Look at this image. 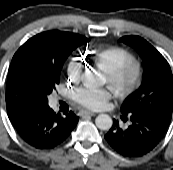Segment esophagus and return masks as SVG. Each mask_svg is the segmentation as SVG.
Wrapping results in <instances>:
<instances>
[{"label":"esophagus","mask_w":173,"mask_h":170,"mask_svg":"<svg viewBox=\"0 0 173 170\" xmlns=\"http://www.w3.org/2000/svg\"><path fill=\"white\" fill-rule=\"evenodd\" d=\"M90 115H92V116L95 115V112H90Z\"/></svg>","instance_id":"obj_1"}]
</instances>
